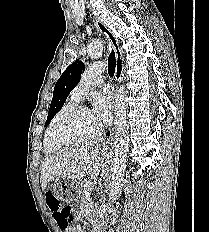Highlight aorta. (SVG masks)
Masks as SVG:
<instances>
[{"instance_id":"1","label":"aorta","mask_w":209,"mask_h":232,"mask_svg":"<svg viewBox=\"0 0 209 232\" xmlns=\"http://www.w3.org/2000/svg\"><path fill=\"white\" fill-rule=\"evenodd\" d=\"M103 44L98 39H93L88 45L87 52L92 59H98L102 55ZM124 86L118 88L115 98V135L114 155L111 161V180L108 185V200L111 203L116 199L121 186L126 167V158L129 143V131L126 110V97Z\"/></svg>"}]
</instances>
